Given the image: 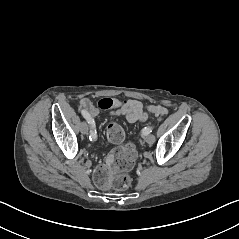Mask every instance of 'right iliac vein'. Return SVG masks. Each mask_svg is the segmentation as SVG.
Here are the masks:
<instances>
[{
  "label": "right iliac vein",
  "instance_id": "obj_1",
  "mask_svg": "<svg viewBox=\"0 0 239 239\" xmlns=\"http://www.w3.org/2000/svg\"><path fill=\"white\" fill-rule=\"evenodd\" d=\"M80 131L82 134H87L88 133V125L86 122H82L80 125Z\"/></svg>",
  "mask_w": 239,
  "mask_h": 239
}]
</instances>
